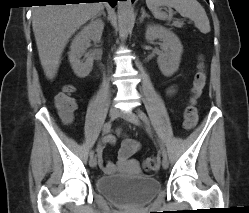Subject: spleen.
<instances>
[{
	"label": "spleen",
	"mask_w": 249,
	"mask_h": 213,
	"mask_svg": "<svg viewBox=\"0 0 249 213\" xmlns=\"http://www.w3.org/2000/svg\"><path fill=\"white\" fill-rule=\"evenodd\" d=\"M146 5L154 17L161 20H166L169 17L160 10V7H173L181 16L194 21L195 26L202 33L210 32V23L206 12L197 0H146Z\"/></svg>",
	"instance_id": "1"
}]
</instances>
